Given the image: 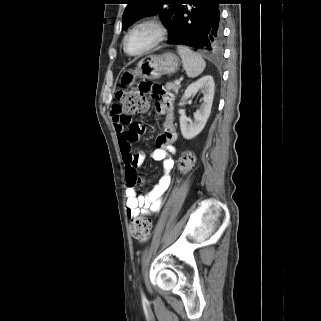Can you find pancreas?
Wrapping results in <instances>:
<instances>
[{
    "mask_svg": "<svg viewBox=\"0 0 321 321\" xmlns=\"http://www.w3.org/2000/svg\"><path fill=\"white\" fill-rule=\"evenodd\" d=\"M166 88L168 89V90H171V91H173V92H175V93H178V90L180 89V84H177V83H167L166 84Z\"/></svg>",
    "mask_w": 321,
    "mask_h": 321,
    "instance_id": "1",
    "label": "pancreas"
}]
</instances>
